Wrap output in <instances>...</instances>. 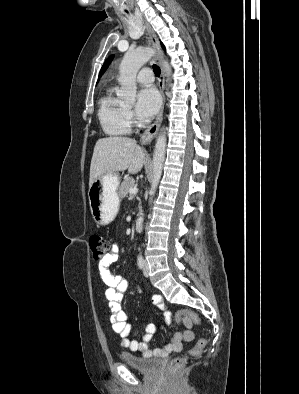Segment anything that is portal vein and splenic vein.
<instances>
[{
	"instance_id": "obj_1",
	"label": "portal vein and splenic vein",
	"mask_w": 299,
	"mask_h": 394,
	"mask_svg": "<svg viewBox=\"0 0 299 394\" xmlns=\"http://www.w3.org/2000/svg\"><path fill=\"white\" fill-rule=\"evenodd\" d=\"M137 192H138L137 187H133V188L130 189V194H132V195H136Z\"/></svg>"
}]
</instances>
